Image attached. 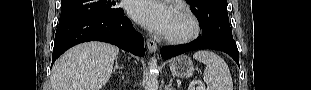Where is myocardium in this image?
<instances>
[{"instance_id":"obj_1","label":"myocardium","mask_w":311,"mask_h":90,"mask_svg":"<svg viewBox=\"0 0 311 90\" xmlns=\"http://www.w3.org/2000/svg\"><path fill=\"white\" fill-rule=\"evenodd\" d=\"M177 14L186 22L187 30L178 34H164V39L173 44H184L194 40L200 32V24L196 16L187 8H176Z\"/></svg>"}]
</instances>
